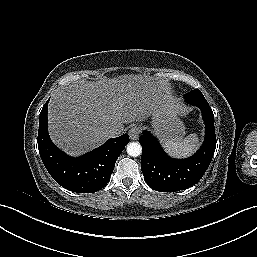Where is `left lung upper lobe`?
I'll return each mask as SVG.
<instances>
[{"mask_svg": "<svg viewBox=\"0 0 257 257\" xmlns=\"http://www.w3.org/2000/svg\"><path fill=\"white\" fill-rule=\"evenodd\" d=\"M184 96H185V100L192 105H195L197 102H202V103L207 102L203 94L201 93V91L198 89H195L185 94Z\"/></svg>", "mask_w": 257, "mask_h": 257, "instance_id": "5c2ea615", "label": "left lung upper lobe"}]
</instances>
